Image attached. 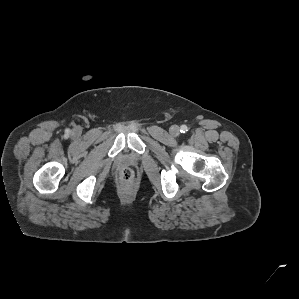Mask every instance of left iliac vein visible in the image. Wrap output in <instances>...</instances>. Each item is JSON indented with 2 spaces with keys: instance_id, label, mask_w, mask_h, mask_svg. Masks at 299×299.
Segmentation results:
<instances>
[{
  "instance_id": "1",
  "label": "left iliac vein",
  "mask_w": 299,
  "mask_h": 299,
  "mask_svg": "<svg viewBox=\"0 0 299 299\" xmlns=\"http://www.w3.org/2000/svg\"><path fill=\"white\" fill-rule=\"evenodd\" d=\"M180 133V128L177 126V125H173L171 128H170V134L172 136H178Z\"/></svg>"
}]
</instances>
